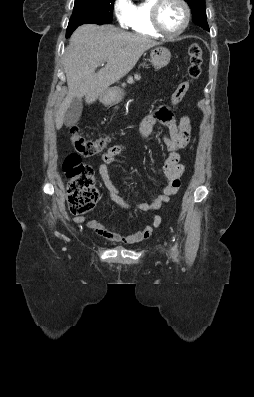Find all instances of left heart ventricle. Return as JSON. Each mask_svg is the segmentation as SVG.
<instances>
[{
  "instance_id": "left-heart-ventricle-1",
  "label": "left heart ventricle",
  "mask_w": 254,
  "mask_h": 397,
  "mask_svg": "<svg viewBox=\"0 0 254 397\" xmlns=\"http://www.w3.org/2000/svg\"><path fill=\"white\" fill-rule=\"evenodd\" d=\"M184 20V10L176 0H166L160 10V22L168 32L177 31Z\"/></svg>"
}]
</instances>
